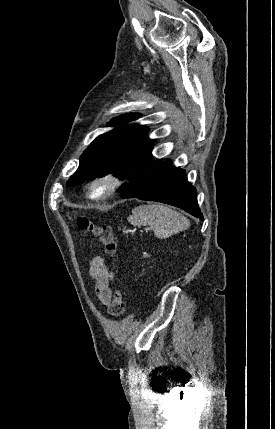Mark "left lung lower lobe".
<instances>
[{"mask_svg":"<svg viewBox=\"0 0 275 429\" xmlns=\"http://www.w3.org/2000/svg\"><path fill=\"white\" fill-rule=\"evenodd\" d=\"M121 198L158 201L203 218L196 189L185 178V170L172 166L171 159H156L139 175Z\"/></svg>","mask_w":275,"mask_h":429,"instance_id":"obj_1","label":"left lung lower lobe"}]
</instances>
